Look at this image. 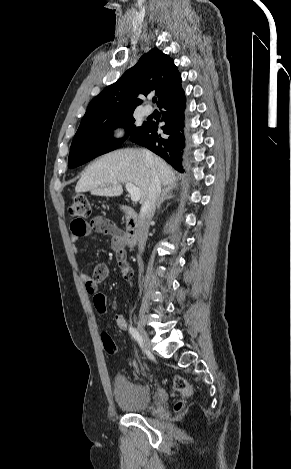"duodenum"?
<instances>
[{"label": "duodenum", "instance_id": "1", "mask_svg": "<svg viewBox=\"0 0 291 469\" xmlns=\"http://www.w3.org/2000/svg\"><path fill=\"white\" fill-rule=\"evenodd\" d=\"M120 210L126 217L127 229L125 232V245L133 247L138 241L140 233V221L134 209L127 205H120Z\"/></svg>", "mask_w": 291, "mask_h": 469}]
</instances>
